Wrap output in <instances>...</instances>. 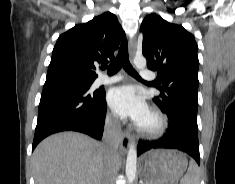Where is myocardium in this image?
<instances>
[{
  "label": "myocardium",
  "instance_id": "myocardium-1",
  "mask_svg": "<svg viewBox=\"0 0 235 184\" xmlns=\"http://www.w3.org/2000/svg\"><path fill=\"white\" fill-rule=\"evenodd\" d=\"M155 118V124L150 129H144L138 126L137 135L142 139L153 140L161 137L168 128V119L166 115L157 108H151L149 111Z\"/></svg>",
  "mask_w": 235,
  "mask_h": 184
}]
</instances>
